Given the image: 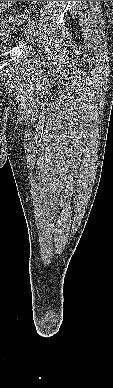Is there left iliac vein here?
<instances>
[{
	"label": "left iliac vein",
	"mask_w": 113,
	"mask_h": 388,
	"mask_svg": "<svg viewBox=\"0 0 113 388\" xmlns=\"http://www.w3.org/2000/svg\"><path fill=\"white\" fill-rule=\"evenodd\" d=\"M23 34L26 38L27 41H32L33 40V30L32 26L30 24H26L23 28Z\"/></svg>",
	"instance_id": "obj_1"
}]
</instances>
